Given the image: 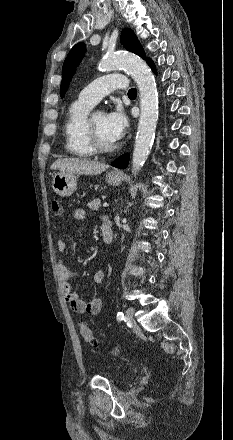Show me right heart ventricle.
Segmentation results:
<instances>
[{"mask_svg": "<svg viewBox=\"0 0 233 440\" xmlns=\"http://www.w3.org/2000/svg\"><path fill=\"white\" fill-rule=\"evenodd\" d=\"M92 105L79 99L72 102L67 110L64 123L66 151L78 158H88L96 152L91 147L85 129V123Z\"/></svg>", "mask_w": 233, "mask_h": 440, "instance_id": "obj_1", "label": "right heart ventricle"}]
</instances>
